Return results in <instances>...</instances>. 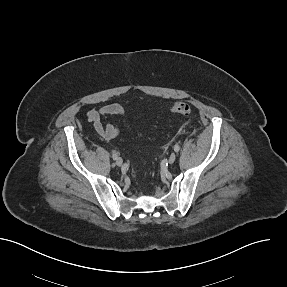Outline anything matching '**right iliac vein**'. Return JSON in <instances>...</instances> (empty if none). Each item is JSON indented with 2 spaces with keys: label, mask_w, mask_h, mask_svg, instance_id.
Segmentation results:
<instances>
[{
  "label": "right iliac vein",
  "mask_w": 287,
  "mask_h": 287,
  "mask_svg": "<svg viewBox=\"0 0 287 287\" xmlns=\"http://www.w3.org/2000/svg\"><path fill=\"white\" fill-rule=\"evenodd\" d=\"M116 165L117 166H122L123 165V160L121 158L116 159Z\"/></svg>",
  "instance_id": "1"
}]
</instances>
